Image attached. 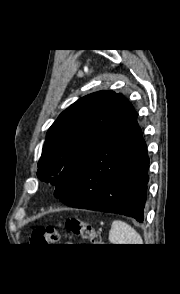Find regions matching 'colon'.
<instances>
[{"label": "colon", "instance_id": "1", "mask_svg": "<svg viewBox=\"0 0 180 294\" xmlns=\"http://www.w3.org/2000/svg\"><path fill=\"white\" fill-rule=\"evenodd\" d=\"M64 227L73 234L79 235L82 238L89 240L92 245H99L101 237L92 224L81 221L77 218H68L64 222ZM60 225L46 226L36 228L30 240L35 244L55 245L59 241Z\"/></svg>", "mask_w": 180, "mask_h": 294}]
</instances>
